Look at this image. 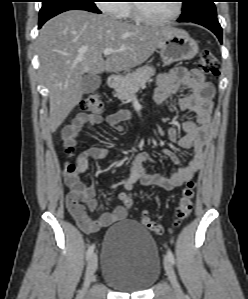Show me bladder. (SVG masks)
<instances>
[{"label":"bladder","instance_id":"obj_1","mask_svg":"<svg viewBox=\"0 0 248 299\" xmlns=\"http://www.w3.org/2000/svg\"><path fill=\"white\" fill-rule=\"evenodd\" d=\"M156 243L140 224L125 220L112 226L103 240L101 276L123 292H141L159 278Z\"/></svg>","mask_w":248,"mask_h":299}]
</instances>
